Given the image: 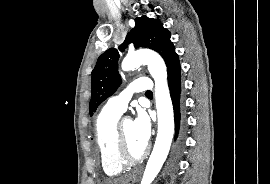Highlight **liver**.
<instances>
[{
    "instance_id": "6515ba94",
    "label": "liver",
    "mask_w": 270,
    "mask_h": 184,
    "mask_svg": "<svg viewBox=\"0 0 270 184\" xmlns=\"http://www.w3.org/2000/svg\"><path fill=\"white\" fill-rule=\"evenodd\" d=\"M129 181V178H121L116 180H107L104 182V184H127Z\"/></svg>"
}]
</instances>
